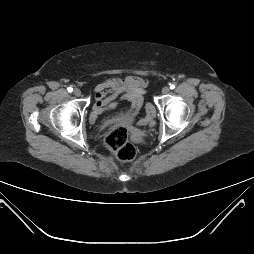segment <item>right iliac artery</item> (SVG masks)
<instances>
[{
  "mask_svg": "<svg viewBox=\"0 0 254 254\" xmlns=\"http://www.w3.org/2000/svg\"><path fill=\"white\" fill-rule=\"evenodd\" d=\"M67 90H68V92L71 93L73 91V88L72 87H68Z\"/></svg>",
  "mask_w": 254,
  "mask_h": 254,
  "instance_id": "1",
  "label": "right iliac artery"
}]
</instances>
